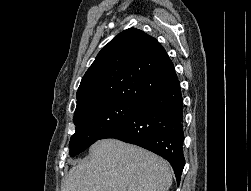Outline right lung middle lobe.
Masks as SVG:
<instances>
[{"label": "right lung middle lobe", "mask_w": 251, "mask_h": 191, "mask_svg": "<svg viewBox=\"0 0 251 191\" xmlns=\"http://www.w3.org/2000/svg\"><path fill=\"white\" fill-rule=\"evenodd\" d=\"M139 106L138 103L112 101L75 111L73 120L76 131L70 140V156L81 153L101 139Z\"/></svg>", "instance_id": "dd1d6c3e"}]
</instances>
